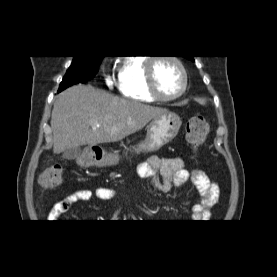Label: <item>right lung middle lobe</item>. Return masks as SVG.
<instances>
[{
  "label": "right lung middle lobe",
  "instance_id": "dd1d6c3e",
  "mask_svg": "<svg viewBox=\"0 0 277 277\" xmlns=\"http://www.w3.org/2000/svg\"><path fill=\"white\" fill-rule=\"evenodd\" d=\"M104 56L99 57H77L74 56L71 66L67 70L64 76L58 92L63 89L77 84L79 82L86 83L88 80L92 79L98 72L100 63Z\"/></svg>",
  "mask_w": 277,
  "mask_h": 277
}]
</instances>
